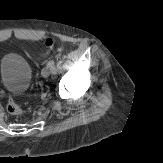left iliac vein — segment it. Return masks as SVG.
I'll list each match as a JSON object with an SVG mask.
<instances>
[{"label": "left iliac vein", "mask_w": 163, "mask_h": 163, "mask_svg": "<svg viewBox=\"0 0 163 163\" xmlns=\"http://www.w3.org/2000/svg\"><path fill=\"white\" fill-rule=\"evenodd\" d=\"M50 68L48 66L44 67L41 71V74L44 78H47L50 75Z\"/></svg>", "instance_id": "1"}]
</instances>
